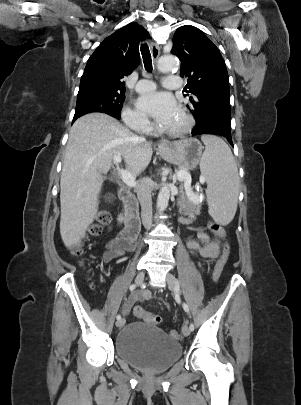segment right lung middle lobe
<instances>
[{
	"label": "right lung middle lobe",
	"instance_id": "dd1d6c3e",
	"mask_svg": "<svg viewBox=\"0 0 301 405\" xmlns=\"http://www.w3.org/2000/svg\"><path fill=\"white\" fill-rule=\"evenodd\" d=\"M124 98V92L87 91L78 93L73 120L91 112L106 113L119 119Z\"/></svg>",
	"mask_w": 301,
	"mask_h": 405
}]
</instances>
